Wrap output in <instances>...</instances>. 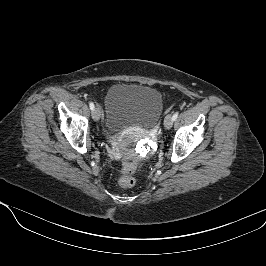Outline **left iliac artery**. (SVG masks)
Returning a JSON list of instances; mask_svg holds the SVG:
<instances>
[{
    "label": "left iliac artery",
    "mask_w": 266,
    "mask_h": 266,
    "mask_svg": "<svg viewBox=\"0 0 266 266\" xmlns=\"http://www.w3.org/2000/svg\"><path fill=\"white\" fill-rule=\"evenodd\" d=\"M178 117V112H175L172 116V120L175 121Z\"/></svg>",
    "instance_id": "1"
}]
</instances>
